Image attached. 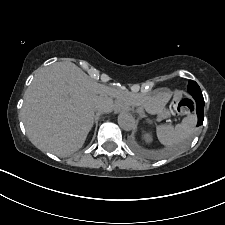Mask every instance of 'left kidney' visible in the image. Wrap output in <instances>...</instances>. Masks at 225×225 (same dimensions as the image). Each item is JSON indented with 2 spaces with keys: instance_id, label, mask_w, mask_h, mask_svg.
<instances>
[{
  "instance_id": "left-kidney-1",
  "label": "left kidney",
  "mask_w": 225,
  "mask_h": 225,
  "mask_svg": "<svg viewBox=\"0 0 225 225\" xmlns=\"http://www.w3.org/2000/svg\"><path fill=\"white\" fill-rule=\"evenodd\" d=\"M144 138L147 142L151 141V136L149 134H145Z\"/></svg>"
}]
</instances>
